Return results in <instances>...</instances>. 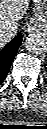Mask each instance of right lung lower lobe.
<instances>
[{
    "label": "right lung lower lobe",
    "instance_id": "1",
    "mask_svg": "<svg viewBox=\"0 0 47 129\" xmlns=\"http://www.w3.org/2000/svg\"><path fill=\"white\" fill-rule=\"evenodd\" d=\"M21 42L22 35L18 34L11 42L0 50V84L6 78Z\"/></svg>",
    "mask_w": 47,
    "mask_h": 129
}]
</instances>
